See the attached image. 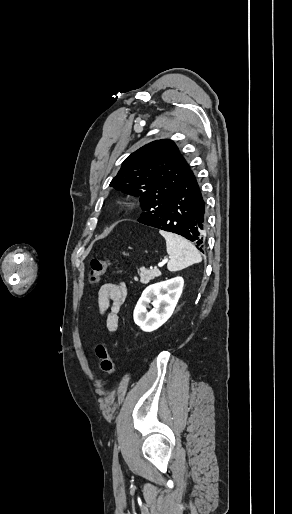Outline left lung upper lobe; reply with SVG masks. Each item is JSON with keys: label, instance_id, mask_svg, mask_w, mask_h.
<instances>
[{"label": "left lung upper lobe", "instance_id": "left-lung-upper-lobe-1", "mask_svg": "<svg viewBox=\"0 0 292 514\" xmlns=\"http://www.w3.org/2000/svg\"><path fill=\"white\" fill-rule=\"evenodd\" d=\"M190 170L173 141L156 140L130 154L110 186L140 197L143 213L138 221L145 224L161 213Z\"/></svg>", "mask_w": 292, "mask_h": 514}]
</instances>
